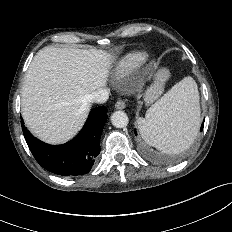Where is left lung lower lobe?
<instances>
[{"label":"left lung lower lobe","instance_id":"obj_1","mask_svg":"<svg viewBox=\"0 0 232 232\" xmlns=\"http://www.w3.org/2000/svg\"><path fill=\"white\" fill-rule=\"evenodd\" d=\"M203 127H204V124H202L201 125V129H200V131H202L203 130ZM135 134H136V131H135ZM137 135V134H136Z\"/></svg>","mask_w":232,"mask_h":232}]
</instances>
